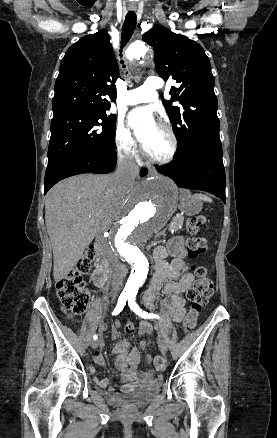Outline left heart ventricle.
<instances>
[{
	"mask_svg": "<svg viewBox=\"0 0 277 438\" xmlns=\"http://www.w3.org/2000/svg\"><path fill=\"white\" fill-rule=\"evenodd\" d=\"M143 147L150 156L163 159L171 151V140L163 130L155 126L147 135Z\"/></svg>",
	"mask_w": 277,
	"mask_h": 438,
	"instance_id": "left-heart-ventricle-1",
	"label": "left heart ventricle"
}]
</instances>
